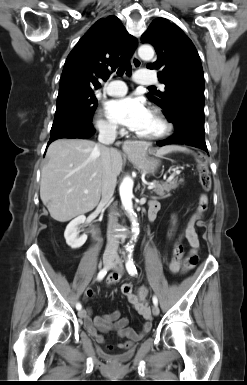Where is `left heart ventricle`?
<instances>
[{
    "mask_svg": "<svg viewBox=\"0 0 247 385\" xmlns=\"http://www.w3.org/2000/svg\"><path fill=\"white\" fill-rule=\"evenodd\" d=\"M161 130V124L157 118L150 113V116L144 126L137 131L140 135H151L159 132Z\"/></svg>",
    "mask_w": 247,
    "mask_h": 385,
    "instance_id": "left-heart-ventricle-1",
    "label": "left heart ventricle"
}]
</instances>
